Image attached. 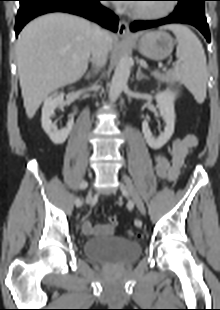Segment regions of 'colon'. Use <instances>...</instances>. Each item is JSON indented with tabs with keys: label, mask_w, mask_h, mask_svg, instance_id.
Returning <instances> with one entry per match:
<instances>
[{
	"label": "colon",
	"mask_w": 220,
	"mask_h": 310,
	"mask_svg": "<svg viewBox=\"0 0 220 310\" xmlns=\"http://www.w3.org/2000/svg\"><path fill=\"white\" fill-rule=\"evenodd\" d=\"M109 221H110V223H111L112 225H117V223H118V218H117V216L113 215V216H110ZM128 234H129L130 236H138V235H139L138 233H136V232H134V231H129Z\"/></svg>",
	"instance_id": "obj_1"
}]
</instances>
